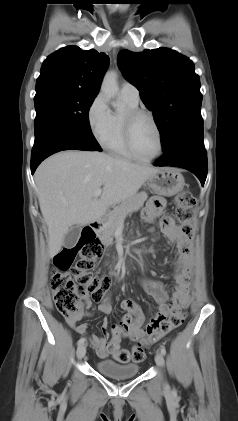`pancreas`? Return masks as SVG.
<instances>
[{"label":"pancreas","instance_id":"cf45deb5","mask_svg":"<svg viewBox=\"0 0 238 421\" xmlns=\"http://www.w3.org/2000/svg\"><path fill=\"white\" fill-rule=\"evenodd\" d=\"M147 198L148 195L146 192L135 194L122 201L107 215V221L99 231V238L105 246L112 244V236L119 223L122 222L128 214L139 210Z\"/></svg>","mask_w":238,"mask_h":421}]
</instances>
